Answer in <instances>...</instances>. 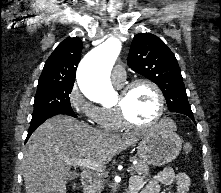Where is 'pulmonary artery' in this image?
I'll return each instance as SVG.
<instances>
[{
	"instance_id": "e3ab8cb5",
	"label": "pulmonary artery",
	"mask_w": 221,
	"mask_h": 193,
	"mask_svg": "<svg viewBox=\"0 0 221 193\" xmlns=\"http://www.w3.org/2000/svg\"><path fill=\"white\" fill-rule=\"evenodd\" d=\"M125 78H126L125 68L123 66H116L111 74L112 81L116 85L120 86L125 81Z\"/></svg>"
}]
</instances>
